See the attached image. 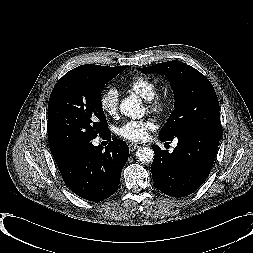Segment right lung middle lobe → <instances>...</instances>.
Wrapping results in <instances>:
<instances>
[{
    "mask_svg": "<svg viewBox=\"0 0 253 253\" xmlns=\"http://www.w3.org/2000/svg\"><path fill=\"white\" fill-rule=\"evenodd\" d=\"M126 67H77L56 83L48 105L47 131L52 153L67 154L78 144L108 132L101 93L105 83Z\"/></svg>",
    "mask_w": 253,
    "mask_h": 253,
    "instance_id": "right-lung-middle-lobe-1",
    "label": "right lung middle lobe"
}]
</instances>
